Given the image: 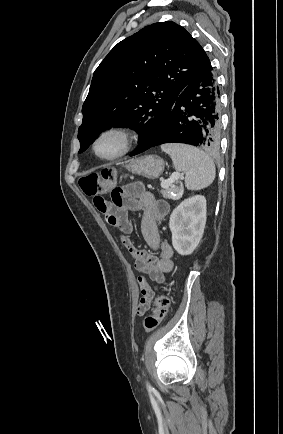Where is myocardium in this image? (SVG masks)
Masks as SVG:
<instances>
[{
  "instance_id": "myocardium-1",
  "label": "myocardium",
  "mask_w": 283,
  "mask_h": 434,
  "mask_svg": "<svg viewBox=\"0 0 283 434\" xmlns=\"http://www.w3.org/2000/svg\"><path fill=\"white\" fill-rule=\"evenodd\" d=\"M112 138L116 141L117 148L111 154H103L99 151V144ZM133 144V132L130 128L123 125H112L99 131L91 143L93 153L101 160L111 161L124 156L131 149Z\"/></svg>"
}]
</instances>
